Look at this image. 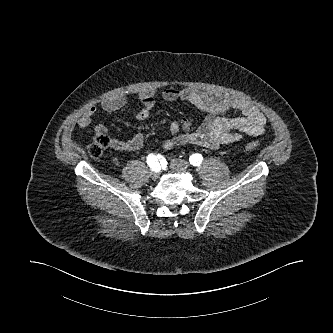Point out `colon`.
Here are the masks:
<instances>
[{
    "mask_svg": "<svg viewBox=\"0 0 333 333\" xmlns=\"http://www.w3.org/2000/svg\"><path fill=\"white\" fill-rule=\"evenodd\" d=\"M110 145V139L105 133L95 134L88 146V153L92 158L101 157L103 151ZM259 148V144L255 141L248 142L244 145L245 153L255 152Z\"/></svg>",
    "mask_w": 333,
    "mask_h": 333,
    "instance_id": "1",
    "label": "colon"
}]
</instances>
